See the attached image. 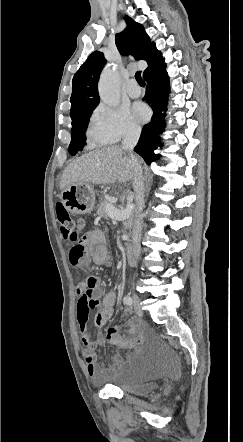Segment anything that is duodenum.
<instances>
[{
	"instance_id": "obj_1",
	"label": "duodenum",
	"mask_w": 243,
	"mask_h": 442,
	"mask_svg": "<svg viewBox=\"0 0 243 442\" xmlns=\"http://www.w3.org/2000/svg\"><path fill=\"white\" fill-rule=\"evenodd\" d=\"M126 259L129 264L134 265L136 264L135 254L131 247L126 248Z\"/></svg>"
}]
</instances>
